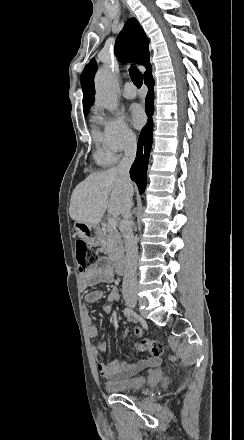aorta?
Returning a JSON list of instances; mask_svg holds the SVG:
<instances>
[{"label":"aorta","mask_w":244,"mask_h":440,"mask_svg":"<svg viewBox=\"0 0 244 440\" xmlns=\"http://www.w3.org/2000/svg\"><path fill=\"white\" fill-rule=\"evenodd\" d=\"M118 83L111 72L102 67L95 76V98L104 108L114 111L118 107Z\"/></svg>","instance_id":"762f6f07"}]
</instances>
